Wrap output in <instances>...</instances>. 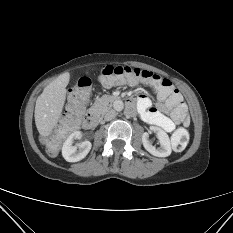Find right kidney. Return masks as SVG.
Wrapping results in <instances>:
<instances>
[{
    "label": "right kidney",
    "mask_w": 233,
    "mask_h": 233,
    "mask_svg": "<svg viewBox=\"0 0 233 233\" xmlns=\"http://www.w3.org/2000/svg\"><path fill=\"white\" fill-rule=\"evenodd\" d=\"M82 136L80 131L71 133L62 147V156L68 162H78L86 157L89 153L92 144L89 141H84L78 145H73L74 140L80 139ZM78 149V150H77Z\"/></svg>",
    "instance_id": "obj_1"
}]
</instances>
